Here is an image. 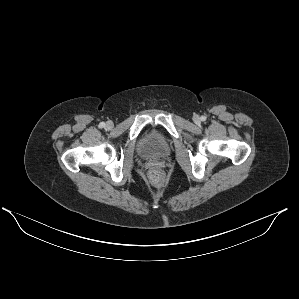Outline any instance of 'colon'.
Returning a JSON list of instances; mask_svg holds the SVG:
<instances>
[{
	"instance_id": "colon-1",
	"label": "colon",
	"mask_w": 299,
	"mask_h": 299,
	"mask_svg": "<svg viewBox=\"0 0 299 299\" xmlns=\"http://www.w3.org/2000/svg\"><path fill=\"white\" fill-rule=\"evenodd\" d=\"M148 178L155 185H161L164 182V175L157 168H153L149 171Z\"/></svg>"
}]
</instances>
